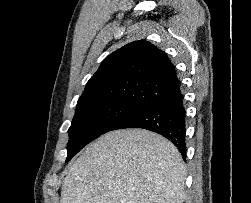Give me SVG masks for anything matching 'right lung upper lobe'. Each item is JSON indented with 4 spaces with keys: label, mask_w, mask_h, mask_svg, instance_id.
<instances>
[{
    "label": "right lung upper lobe",
    "mask_w": 251,
    "mask_h": 203,
    "mask_svg": "<svg viewBox=\"0 0 251 203\" xmlns=\"http://www.w3.org/2000/svg\"><path fill=\"white\" fill-rule=\"evenodd\" d=\"M178 89L179 81L169 58L151 43L139 40L103 60L77 105L123 103L142 108Z\"/></svg>",
    "instance_id": "right-lung-upper-lobe-1"
}]
</instances>
